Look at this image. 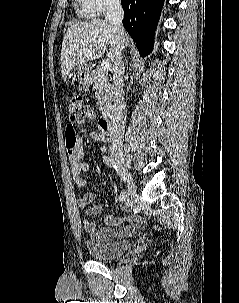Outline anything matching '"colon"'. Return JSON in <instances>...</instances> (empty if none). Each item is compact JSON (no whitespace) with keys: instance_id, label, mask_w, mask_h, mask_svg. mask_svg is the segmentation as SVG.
<instances>
[{"instance_id":"obj_1","label":"colon","mask_w":239,"mask_h":303,"mask_svg":"<svg viewBox=\"0 0 239 303\" xmlns=\"http://www.w3.org/2000/svg\"><path fill=\"white\" fill-rule=\"evenodd\" d=\"M90 107L88 103L80 95H72L69 100V121L70 126L78 122L90 114Z\"/></svg>"}]
</instances>
